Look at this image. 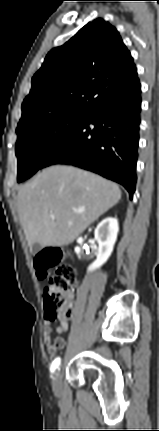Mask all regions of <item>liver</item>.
<instances>
[{"label":"liver","mask_w":159,"mask_h":431,"mask_svg":"<svg viewBox=\"0 0 159 431\" xmlns=\"http://www.w3.org/2000/svg\"><path fill=\"white\" fill-rule=\"evenodd\" d=\"M121 195L117 184L96 174L63 165L44 169L18 192V213L28 245L72 243L116 205ZM79 208L85 212H73Z\"/></svg>","instance_id":"liver-1"}]
</instances>
